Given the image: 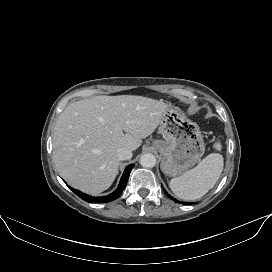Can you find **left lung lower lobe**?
Returning a JSON list of instances; mask_svg holds the SVG:
<instances>
[{
	"label": "left lung lower lobe",
	"instance_id": "0a47b994",
	"mask_svg": "<svg viewBox=\"0 0 272 272\" xmlns=\"http://www.w3.org/2000/svg\"><path fill=\"white\" fill-rule=\"evenodd\" d=\"M165 193H166V192H165ZM166 195H167L168 197H170V198H171V196H170L169 194H167V193H166ZM171 199H172V198H171ZM174 201H175V202H177L176 200H174ZM187 204H188V203H187Z\"/></svg>",
	"mask_w": 272,
	"mask_h": 272
}]
</instances>
